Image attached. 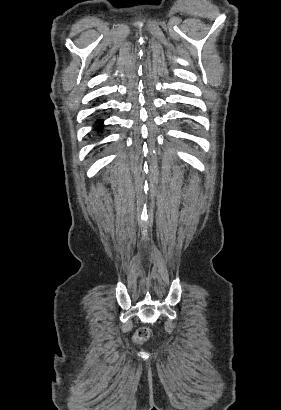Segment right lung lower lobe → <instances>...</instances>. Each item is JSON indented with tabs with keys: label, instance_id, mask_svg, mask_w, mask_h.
<instances>
[{
	"label": "right lung lower lobe",
	"instance_id": "obj_1",
	"mask_svg": "<svg viewBox=\"0 0 281 410\" xmlns=\"http://www.w3.org/2000/svg\"><path fill=\"white\" fill-rule=\"evenodd\" d=\"M96 123H99V125H98V127H96V129L100 131V130L102 129V127H103V125H102L103 120L98 119V120L96 121Z\"/></svg>",
	"mask_w": 281,
	"mask_h": 410
}]
</instances>
